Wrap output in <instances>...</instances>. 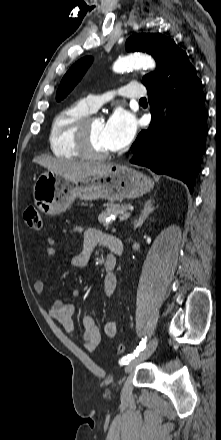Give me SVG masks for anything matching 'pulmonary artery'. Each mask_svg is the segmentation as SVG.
Returning a JSON list of instances; mask_svg holds the SVG:
<instances>
[{"instance_id": "pulmonary-artery-1", "label": "pulmonary artery", "mask_w": 221, "mask_h": 440, "mask_svg": "<svg viewBox=\"0 0 221 440\" xmlns=\"http://www.w3.org/2000/svg\"><path fill=\"white\" fill-rule=\"evenodd\" d=\"M119 95L127 98H144L145 89L144 87L137 83H128L118 89ZM112 95L110 93L103 95H89L85 98L86 102L89 104L93 111L97 110L102 104L108 101Z\"/></svg>"}]
</instances>
